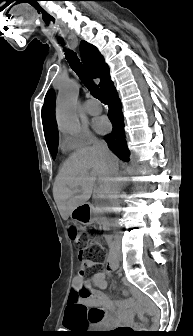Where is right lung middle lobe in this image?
Segmentation results:
<instances>
[{"mask_svg":"<svg viewBox=\"0 0 193 336\" xmlns=\"http://www.w3.org/2000/svg\"><path fill=\"white\" fill-rule=\"evenodd\" d=\"M48 149L52 155V158H55L57 153V147H58V137H55L54 139L47 142Z\"/></svg>","mask_w":193,"mask_h":336,"instance_id":"obj_1","label":"right lung middle lobe"}]
</instances>
